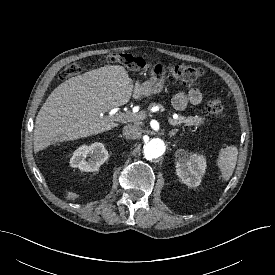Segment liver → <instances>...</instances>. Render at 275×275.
<instances>
[{"mask_svg":"<svg viewBox=\"0 0 275 275\" xmlns=\"http://www.w3.org/2000/svg\"><path fill=\"white\" fill-rule=\"evenodd\" d=\"M133 92V93H132ZM144 96L125 68L104 66L72 77L49 95L35 121L34 151L51 144L103 133L117 126L106 112Z\"/></svg>","mask_w":275,"mask_h":275,"instance_id":"liver-1","label":"liver"}]
</instances>
